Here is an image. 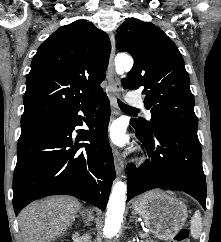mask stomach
Returning a JSON list of instances; mask_svg holds the SVG:
<instances>
[{
	"mask_svg": "<svg viewBox=\"0 0 221 242\" xmlns=\"http://www.w3.org/2000/svg\"><path fill=\"white\" fill-rule=\"evenodd\" d=\"M133 210L160 240L170 239L184 226L187 219L186 205L160 190L149 191L135 199Z\"/></svg>",
	"mask_w": 221,
	"mask_h": 242,
	"instance_id": "stomach-1",
	"label": "stomach"
}]
</instances>
